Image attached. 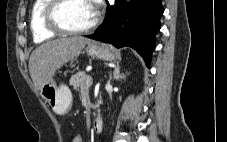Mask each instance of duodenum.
<instances>
[{
    "label": "duodenum",
    "mask_w": 227,
    "mask_h": 142,
    "mask_svg": "<svg viewBox=\"0 0 227 142\" xmlns=\"http://www.w3.org/2000/svg\"><path fill=\"white\" fill-rule=\"evenodd\" d=\"M103 128V120L101 117L97 116L95 117V119L93 120L92 123V129L95 133H99L102 131Z\"/></svg>",
    "instance_id": "obj_1"
}]
</instances>
